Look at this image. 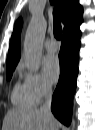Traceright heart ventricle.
Here are the masks:
<instances>
[{"instance_id": "obj_1", "label": "right heart ventricle", "mask_w": 95, "mask_h": 130, "mask_svg": "<svg viewBox=\"0 0 95 130\" xmlns=\"http://www.w3.org/2000/svg\"><path fill=\"white\" fill-rule=\"evenodd\" d=\"M11 99L15 106L21 108L32 107L36 104L25 83L18 82L15 84L12 90Z\"/></svg>"}]
</instances>
